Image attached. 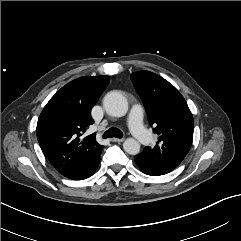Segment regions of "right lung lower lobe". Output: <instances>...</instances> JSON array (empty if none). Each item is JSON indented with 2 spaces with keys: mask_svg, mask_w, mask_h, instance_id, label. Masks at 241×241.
<instances>
[{
  "mask_svg": "<svg viewBox=\"0 0 241 241\" xmlns=\"http://www.w3.org/2000/svg\"><path fill=\"white\" fill-rule=\"evenodd\" d=\"M100 155L92 162H89L87 164L80 166L79 168L67 174L65 177L72 180H83L90 177L91 175L94 174V172L96 171L99 165Z\"/></svg>",
  "mask_w": 241,
  "mask_h": 241,
  "instance_id": "98d812e1",
  "label": "right lung lower lobe"
}]
</instances>
